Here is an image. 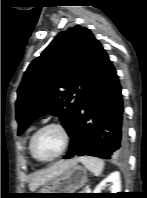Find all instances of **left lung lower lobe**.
I'll list each match as a JSON object with an SVG mask.
<instances>
[{"instance_id":"1","label":"left lung lower lobe","mask_w":147,"mask_h":198,"mask_svg":"<svg viewBox=\"0 0 147 198\" xmlns=\"http://www.w3.org/2000/svg\"><path fill=\"white\" fill-rule=\"evenodd\" d=\"M69 136L71 142L65 159L83 155L111 159L124 156L127 151L121 85L98 40L95 42L83 101Z\"/></svg>"}]
</instances>
